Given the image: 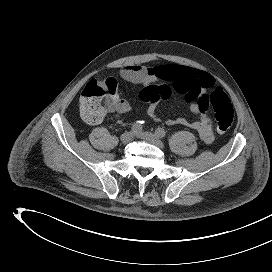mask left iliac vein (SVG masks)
Returning <instances> with one entry per match:
<instances>
[{
  "mask_svg": "<svg viewBox=\"0 0 272 272\" xmlns=\"http://www.w3.org/2000/svg\"><path fill=\"white\" fill-rule=\"evenodd\" d=\"M136 136L152 143L153 145H155L161 149L164 148V143L160 140V138L157 135H155L153 133L140 132V133H136Z\"/></svg>",
  "mask_w": 272,
  "mask_h": 272,
  "instance_id": "1",
  "label": "left iliac vein"
}]
</instances>
